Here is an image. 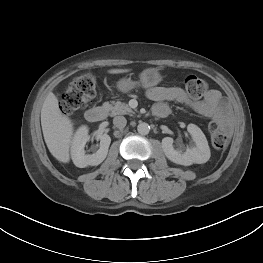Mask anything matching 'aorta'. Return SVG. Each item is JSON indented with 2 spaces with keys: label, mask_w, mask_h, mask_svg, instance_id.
<instances>
[{
  "label": "aorta",
  "mask_w": 263,
  "mask_h": 263,
  "mask_svg": "<svg viewBox=\"0 0 263 263\" xmlns=\"http://www.w3.org/2000/svg\"><path fill=\"white\" fill-rule=\"evenodd\" d=\"M137 131L141 135H147L150 131V126L148 123L142 122L137 126Z\"/></svg>",
  "instance_id": "1"
}]
</instances>
